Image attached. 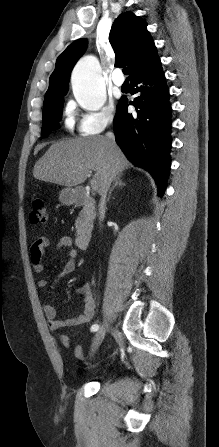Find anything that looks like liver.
<instances>
[{"instance_id": "1", "label": "liver", "mask_w": 219, "mask_h": 447, "mask_svg": "<svg viewBox=\"0 0 219 447\" xmlns=\"http://www.w3.org/2000/svg\"><path fill=\"white\" fill-rule=\"evenodd\" d=\"M129 165L121 149L104 136L68 139L50 146L36 162L35 179L67 187L82 184L95 171L99 193L107 175L121 174Z\"/></svg>"}]
</instances>
